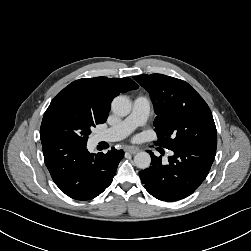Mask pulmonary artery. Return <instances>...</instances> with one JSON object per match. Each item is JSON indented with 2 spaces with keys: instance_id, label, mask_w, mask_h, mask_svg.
<instances>
[{
  "instance_id": "1",
  "label": "pulmonary artery",
  "mask_w": 251,
  "mask_h": 251,
  "mask_svg": "<svg viewBox=\"0 0 251 251\" xmlns=\"http://www.w3.org/2000/svg\"><path fill=\"white\" fill-rule=\"evenodd\" d=\"M150 109V101L145 96H138L133 101L130 115L117 125L99 133V141H117L125 138L136 127L145 124Z\"/></svg>"
}]
</instances>
